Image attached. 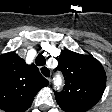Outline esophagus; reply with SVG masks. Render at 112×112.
I'll use <instances>...</instances> for the list:
<instances>
[{
    "instance_id": "1",
    "label": "esophagus",
    "mask_w": 112,
    "mask_h": 112,
    "mask_svg": "<svg viewBox=\"0 0 112 112\" xmlns=\"http://www.w3.org/2000/svg\"><path fill=\"white\" fill-rule=\"evenodd\" d=\"M42 68H43L44 70H46V72H47L46 75H47V76H45V75L42 73V70H43ZM39 70H40L41 74H42L43 76H45L46 79H47L48 81L51 80V71H50V69H49L47 66H42V67L39 68Z\"/></svg>"
}]
</instances>
